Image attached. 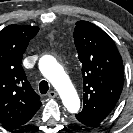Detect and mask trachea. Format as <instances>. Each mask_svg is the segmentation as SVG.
Here are the masks:
<instances>
[{"label":"trachea","mask_w":133,"mask_h":133,"mask_svg":"<svg viewBox=\"0 0 133 133\" xmlns=\"http://www.w3.org/2000/svg\"><path fill=\"white\" fill-rule=\"evenodd\" d=\"M48 89H49L48 82L45 81V80L41 81L40 84H39L40 93L41 94H46Z\"/></svg>","instance_id":"obj_1"}]
</instances>
